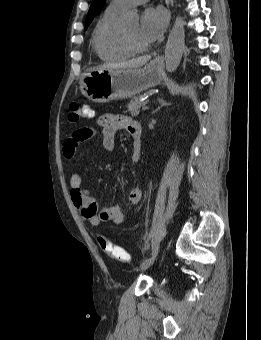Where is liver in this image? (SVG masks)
I'll return each mask as SVG.
<instances>
[{"label":"liver","instance_id":"1","mask_svg":"<svg viewBox=\"0 0 261 340\" xmlns=\"http://www.w3.org/2000/svg\"><path fill=\"white\" fill-rule=\"evenodd\" d=\"M150 56H143V57H139L137 59H132L130 61L124 62V63H119V64H103L97 68H95L94 70H99V69H108V70H114V69H134V68H138L141 67L143 65H145L149 60H150Z\"/></svg>","mask_w":261,"mask_h":340}]
</instances>
